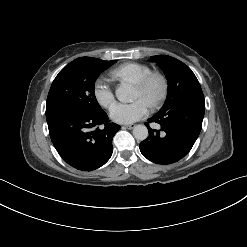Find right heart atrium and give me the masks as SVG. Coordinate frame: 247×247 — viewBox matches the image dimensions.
I'll list each match as a JSON object with an SVG mask.
<instances>
[{
    "mask_svg": "<svg viewBox=\"0 0 247 247\" xmlns=\"http://www.w3.org/2000/svg\"><path fill=\"white\" fill-rule=\"evenodd\" d=\"M93 94L97 102L104 108H110L114 103V91L110 86L109 78L105 76H101L95 81Z\"/></svg>",
    "mask_w": 247,
    "mask_h": 247,
    "instance_id": "1",
    "label": "right heart atrium"
}]
</instances>
